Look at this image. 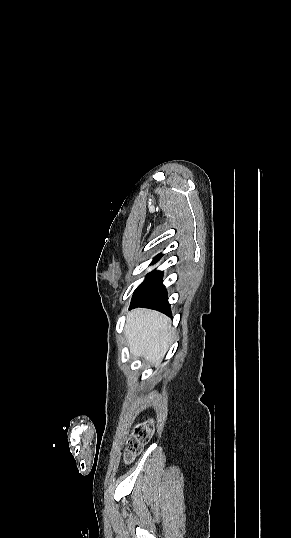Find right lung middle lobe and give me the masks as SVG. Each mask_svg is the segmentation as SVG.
<instances>
[{
    "mask_svg": "<svg viewBox=\"0 0 291 538\" xmlns=\"http://www.w3.org/2000/svg\"><path fill=\"white\" fill-rule=\"evenodd\" d=\"M162 256H163L162 254L157 255V256L154 258V260L151 262L150 265H152V264H154L155 262H157ZM150 274H151V273H148V274H147V277H148ZM136 290H137V289H136Z\"/></svg>",
    "mask_w": 291,
    "mask_h": 538,
    "instance_id": "obj_1",
    "label": "right lung middle lobe"
}]
</instances>
